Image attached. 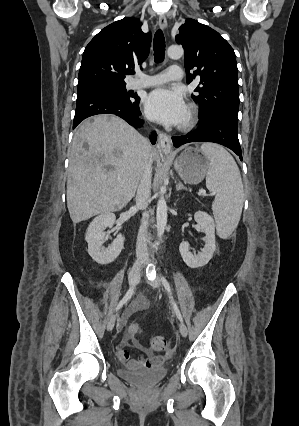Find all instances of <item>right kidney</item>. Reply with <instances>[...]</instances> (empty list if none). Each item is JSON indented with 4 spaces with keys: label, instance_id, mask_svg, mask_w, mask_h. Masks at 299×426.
Wrapping results in <instances>:
<instances>
[{
    "label": "right kidney",
    "instance_id": "1",
    "mask_svg": "<svg viewBox=\"0 0 299 426\" xmlns=\"http://www.w3.org/2000/svg\"><path fill=\"white\" fill-rule=\"evenodd\" d=\"M116 217L112 212L100 214L88 226L85 240L88 243V253L92 259L101 265L112 263L124 248V236L119 234L113 243L105 248L104 230L111 228L115 223Z\"/></svg>",
    "mask_w": 299,
    "mask_h": 426
}]
</instances>
